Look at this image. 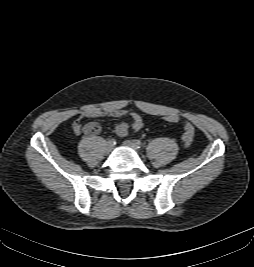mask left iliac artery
<instances>
[{"label": "left iliac artery", "instance_id": "left-iliac-artery-1", "mask_svg": "<svg viewBox=\"0 0 254 267\" xmlns=\"http://www.w3.org/2000/svg\"><path fill=\"white\" fill-rule=\"evenodd\" d=\"M134 144L136 145L137 148H141L143 146L140 140H134Z\"/></svg>", "mask_w": 254, "mask_h": 267}]
</instances>
